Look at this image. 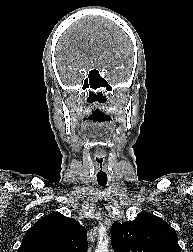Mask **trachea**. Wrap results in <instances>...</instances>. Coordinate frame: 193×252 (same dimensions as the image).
I'll return each instance as SVG.
<instances>
[{"label":"trachea","mask_w":193,"mask_h":252,"mask_svg":"<svg viewBox=\"0 0 193 252\" xmlns=\"http://www.w3.org/2000/svg\"><path fill=\"white\" fill-rule=\"evenodd\" d=\"M99 185H100V186H105V185H106V183H99Z\"/></svg>","instance_id":"3493384b"}]
</instances>
